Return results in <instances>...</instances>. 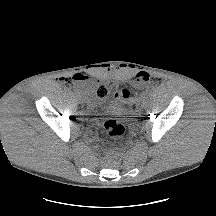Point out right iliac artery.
Returning a JSON list of instances; mask_svg holds the SVG:
<instances>
[{
    "mask_svg": "<svg viewBox=\"0 0 216 216\" xmlns=\"http://www.w3.org/2000/svg\"><path fill=\"white\" fill-rule=\"evenodd\" d=\"M74 92H75L76 95H79V91L75 90Z\"/></svg>",
    "mask_w": 216,
    "mask_h": 216,
    "instance_id": "right-iliac-artery-1",
    "label": "right iliac artery"
}]
</instances>
